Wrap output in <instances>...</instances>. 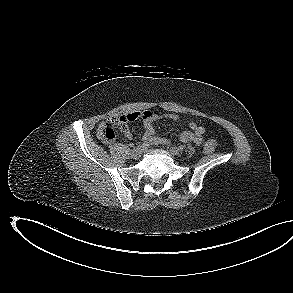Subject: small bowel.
Masks as SVG:
<instances>
[{
  "instance_id": "c3829d8e",
  "label": "small bowel",
  "mask_w": 293,
  "mask_h": 293,
  "mask_svg": "<svg viewBox=\"0 0 293 293\" xmlns=\"http://www.w3.org/2000/svg\"><path fill=\"white\" fill-rule=\"evenodd\" d=\"M128 122L134 121L138 118H141L143 121L144 125V134L143 138L145 141L148 143H153V144H167V140L164 138L157 137L155 135V129H154V124L155 122L167 118L173 121H177L179 119V116L177 114H169V115H160L153 113L151 111H143V112H133L127 115L123 116ZM103 128V122H101L98 125V132L101 131ZM189 128L190 130L184 131L180 134L179 139L180 141L184 143H193L195 145L201 146L203 145L204 147L207 145H212L213 147L216 146L215 140H204V135H205V128L201 125H199L196 122H190L189 123ZM124 136L127 139H132V133L128 128L123 130Z\"/></svg>"
}]
</instances>
